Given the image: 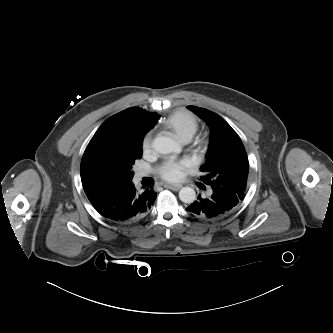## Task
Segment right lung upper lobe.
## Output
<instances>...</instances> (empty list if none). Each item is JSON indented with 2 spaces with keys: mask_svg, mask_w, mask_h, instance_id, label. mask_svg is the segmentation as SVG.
<instances>
[{
  "mask_svg": "<svg viewBox=\"0 0 333 333\" xmlns=\"http://www.w3.org/2000/svg\"><path fill=\"white\" fill-rule=\"evenodd\" d=\"M158 118L159 117L156 115V113H151L141 108L132 107L107 119L96 133L99 134L102 130H104L105 127H107L108 124L115 121L117 125L135 127L145 135V133L154 127Z\"/></svg>",
  "mask_w": 333,
  "mask_h": 333,
  "instance_id": "obj_1",
  "label": "right lung upper lobe"
}]
</instances>
